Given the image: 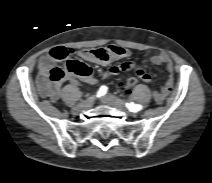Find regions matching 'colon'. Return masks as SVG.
Segmentation results:
<instances>
[{
	"mask_svg": "<svg viewBox=\"0 0 212 183\" xmlns=\"http://www.w3.org/2000/svg\"><path fill=\"white\" fill-rule=\"evenodd\" d=\"M50 54L57 61L66 60L69 56V51L63 47H57L51 50ZM89 70L88 67L77 61V60H67L63 66L53 67L48 73V79L53 83H59L64 80L67 73H72L77 76H86ZM138 79L131 77L125 83L126 89H131L137 85Z\"/></svg>",
	"mask_w": 212,
	"mask_h": 183,
	"instance_id": "1",
	"label": "colon"
}]
</instances>
